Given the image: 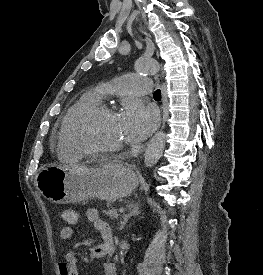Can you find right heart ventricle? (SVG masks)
I'll return each mask as SVG.
<instances>
[{"instance_id":"e07e8e85","label":"right heart ventricle","mask_w":263,"mask_h":275,"mask_svg":"<svg viewBox=\"0 0 263 275\" xmlns=\"http://www.w3.org/2000/svg\"><path fill=\"white\" fill-rule=\"evenodd\" d=\"M100 94L97 91H89L81 96V98L68 110L65 115L60 132L59 152L63 157L77 159L80 154L70 145L66 139V135L70 131L75 119L85 110L99 104Z\"/></svg>"}]
</instances>
